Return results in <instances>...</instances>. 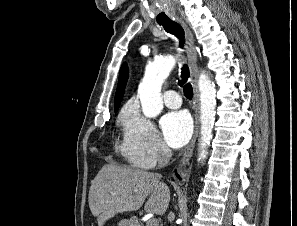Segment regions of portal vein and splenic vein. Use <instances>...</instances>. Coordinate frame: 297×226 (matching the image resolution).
Wrapping results in <instances>:
<instances>
[{
  "instance_id": "obj_1",
  "label": "portal vein and splenic vein",
  "mask_w": 297,
  "mask_h": 226,
  "mask_svg": "<svg viewBox=\"0 0 297 226\" xmlns=\"http://www.w3.org/2000/svg\"><path fill=\"white\" fill-rule=\"evenodd\" d=\"M147 226H157V219H154V218L149 219L147 221Z\"/></svg>"
}]
</instances>
